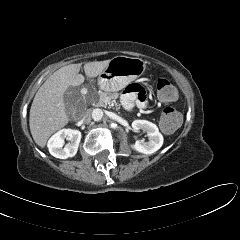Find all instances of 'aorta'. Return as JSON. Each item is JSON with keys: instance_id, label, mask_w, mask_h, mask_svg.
<instances>
[{"instance_id": "obj_1", "label": "aorta", "mask_w": 240, "mask_h": 240, "mask_svg": "<svg viewBox=\"0 0 240 240\" xmlns=\"http://www.w3.org/2000/svg\"><path fill=\"white\" fill-rule=\"evenodd\" d=\"M103 117V111L99 108H96L92 111V118L94 121H99Z\"/></svg>"}]
</instances>
